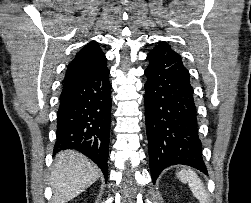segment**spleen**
<instances>
[{
	"instance_id": "spleen-1",
	"label": "spleen",
	"mask_w": 251,
	"mask_h": 203,
	"mask_svg": "<svg viewBox=\"0 0 251 203\" xmlns=\"http://www.w3.org/2000/svg\"><path fill=\"white\" fill-rule=\"evenodd\" d=\"M177 177L183 182L187 183L193 195L200 201V203H208V196L204 185L198 175L190 169H182L177 172Z\"/></svg>"
}]
</instances>
